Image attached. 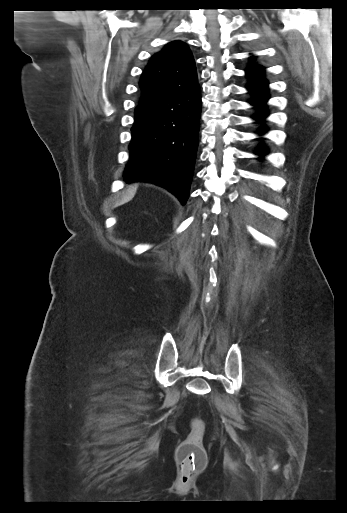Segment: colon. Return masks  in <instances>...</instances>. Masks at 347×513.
Instances as JSON below:
<instances>
[{"label":"colon","mask_w":347,"mask_h":513,"mask_svg":"<svg viewBox=\"0 0 347 513\" xmlns=\"http://www.w3.org/2000/svg\"><path fill=\"white\" fill-rule=\"evenodd\" d=\"M205 427L201 420L193 419L188 438L182 443L178 462L180 469L189 475L201 471L206 463V455L203 449V437Z\"/></svg>","instance_id":"1"}]
</instances>
